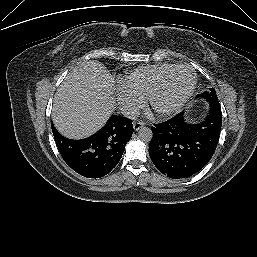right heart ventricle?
Listing matches in <instances>:
<instances>
[{
	"instance_id": "e07e8e85",
	"label": "right heart ventricle",
	"mask_w": 257,
	"mask_h": 257,
	"mask_svg": "<svg viewBox=\"0 0 257 257\" xmlns=\"http://www.w3.org/2000/svg\"><path fill=\"white\" fill-rule=\"evenodd\" d=\"M173 66L163 63L139 67L122 78L121 87L147 99L158 79Z\"/></svg>"
}]
</instances>
